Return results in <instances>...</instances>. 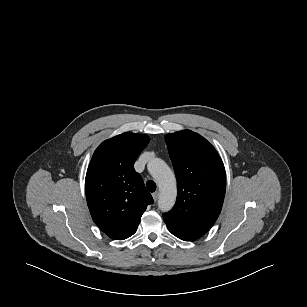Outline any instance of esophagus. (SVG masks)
I'll return each instance as SVG.
<instances>
[{
	"mask_svg": "<svg viewBox=\"0 0 307 307\" xmlns=\"http://www.w3.org/2000/svg\"><path fill=\"white\" fill-rule=\"evenodd\" d=\"M158 196H159L158 192H154V193L152 194V197H153V199H154L155 202L158 200Z\"/></svg>",
	"mask_w": 307,
	"mask_h": 307,
	"instance_id": "34e87169",
	"label": "esophagus"
}]
</instances>
